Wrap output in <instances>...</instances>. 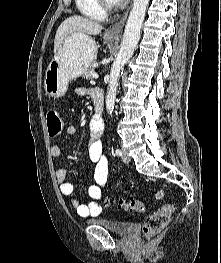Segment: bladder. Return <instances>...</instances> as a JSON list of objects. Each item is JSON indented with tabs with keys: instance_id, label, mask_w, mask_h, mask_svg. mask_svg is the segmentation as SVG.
Listing matches in <instances>:
<instances>
[{
	"instance_id": "31cf9c89",
	"label": "bladder",
	"mask_w": 221,
	"mask_h": 263,
	"mask_svg": "<svg viewBox=\"0 0 221 263\" xmlns=\"http://www.w3.org/2000/svg\"><path fill=\"white\" fill-rule=\"evenodd\" d=\"M88 222L97 226L104 227L105 229L120 235H126L130 233L134 227V224L132 222L126 220L93 218L88 220Z\"/></svg>"
}]
</instances>
